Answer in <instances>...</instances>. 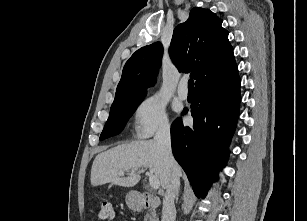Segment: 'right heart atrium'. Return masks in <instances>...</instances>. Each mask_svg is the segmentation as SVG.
I'll return each instance as SVG.
<instances>
[{
  "label": "right heart atrium",
  "instance_id": "1",
  "mask_svg": "<svg viewBox=\"0 0 307 221\" xmlns=\"http://www.w3.org/2000/svg\"><path fill=\"white\" fill-rule=\"evenodd\" d=\"M136 135L149 138L158 132L169 130L165 103L162 98L153 94L142 100L134 113Z\"/></svg>",
  "mask_w": 307,
  "mask_h": 221
}]
</instances>
